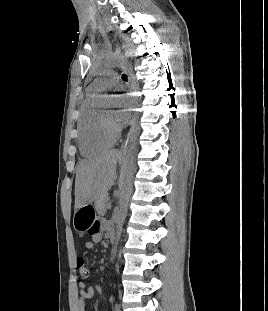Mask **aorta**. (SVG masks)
Segmentation results:
<instances>
[{"instance_id":"obj_1","label":"aorta","mask_w":268,"mask_h":311,"mask_svg":"<svg viewBox=\"0 0 268 311\" xmlns=\"http://www.w3.org/2000/svg\"><path fill=\"white\" fill-rule=\"evenodd\" d=\"M127 58L122 54H114L107 58L101 65L100 69L102 71H107L111 68L125 67V72H128L130 76V82L132 83L131 91L134 92V96L132 97V110H133V122L129 147L126 155V161L124 167L121 171L119 178V201L118 208L115 214L116 221V237H115V245L112 250L113 255L116 254L117 245L121 237L123 224L126 218L128 202L130 199V195L132 192L133 186V178L135 171V161L138 153V136H139V124H140V110H141V80L137 79L136 73V65H127ZM98 101L101 104L107 105L110 101V97L108 95H100L98 97Z\"/></svg>"}]
</instances>
